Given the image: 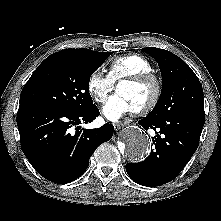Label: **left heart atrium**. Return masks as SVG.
Wrapping results in <instances>:
<instances>
[{
	"label": "left heart atrium",
	"instance_id": "left-heart-atrium-1",
	"mask_svg": "<svg viewBox=\"0 0 221 221\" xmlns=\"http://www.w3.org/2000/svg\"><path fill=\"white\" fill-rule=\"evenodd\" d=\"M134 110L126 97L117 92L107 100L102 108V113L108 120L118 121L124 115L134 112Z\"/></svg>",
	"mask_w": 221,
	"mask_h": 221
}]
</instances>
